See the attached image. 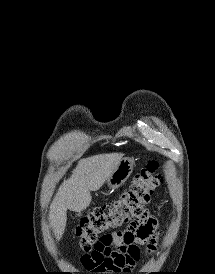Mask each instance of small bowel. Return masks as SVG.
<instances>
[{"instance_id": "1", "label": "small bowel", "mask_w": 215, "mask_h": 274, "mask_svg": "<svg viewBox=\"0 0 215 274\" xmlns=\"http://www.w3.org/2000/svg\"><path fill=\"white\" fill-rule=\"evenodd\" d=\"M157 221L148 212L123 231L105 234L92 250L81 257V265L96 274L131 272L140 259V247L148 252L156 249Z\"/></svg>"}]
</instances>
